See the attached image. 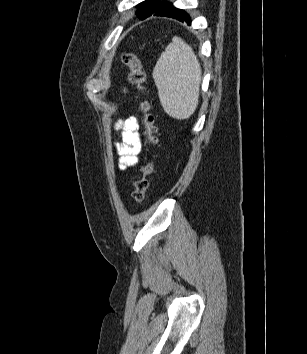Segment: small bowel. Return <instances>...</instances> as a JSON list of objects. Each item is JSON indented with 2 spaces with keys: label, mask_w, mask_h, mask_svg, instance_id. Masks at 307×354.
<instances>
[{
  "label": "small bowel",
  "mask_w": 307,
  "mask_h": 354,
  "mask_svg": "<svg viewBox=\"0 0 307 354\" xmlns=\"http://www.w3.org/2000/svg\"><path fill=\"white\" fill-rule=\"evenodd\" d=\"M115 130L121 135V141L115 143V148L119 156L118 166L124 171L138 162L142 149L139 124L135 117H129L116 123Z\"/></svg>",
  "instance_id": "obj_1"
}]
</instances>
